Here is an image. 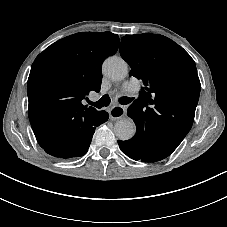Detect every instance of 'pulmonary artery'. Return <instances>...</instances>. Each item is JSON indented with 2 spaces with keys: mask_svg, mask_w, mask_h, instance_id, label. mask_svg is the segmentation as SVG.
<instances>
[{
  "mask_svg": "<svg viewBox=\"0 0 227 227\" xmlns=\"http://www.w3.org/2000/svg\"><path fill=\"white\" fill-rule=\"evenodd\" d=\"M134 87H135V84H134V82H132V81H127V82L124 83V88H125V90H127V91L133 90Z\"/></svg>",
  "mask_w": 227,
  "mask_h": 227,
  "instance_id": "pulmonary-artery-1",
  "label": "pulmonary artery"
}]
</instances>
